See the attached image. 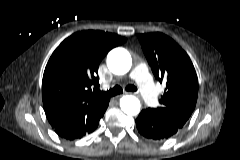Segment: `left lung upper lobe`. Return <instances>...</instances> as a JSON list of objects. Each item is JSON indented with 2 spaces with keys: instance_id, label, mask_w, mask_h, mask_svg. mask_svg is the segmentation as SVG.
<instances>
[{
  "instance_id": "left-lung-upper-lobe-1",
  "label": "left lung upper lobe",
  "mask_w": 240,
  "mask_h": 160,
  "mask_svg": "<svg viewBox=\"0 0 240 160\" xmlns=\"http://www.w3.org/2000/svg\"><path fill=\"white\" fill-rule=\"evenodd\" d=\"M143 52L160 83H166L156 112L182 128L195 109L198 79L187 53L162 33L138 35Z\"/></svg>"
}]
</instances>
